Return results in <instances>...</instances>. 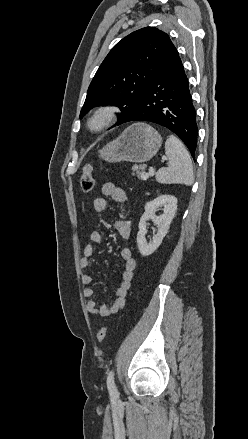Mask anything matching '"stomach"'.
I'll return each mask as SVG.
<instances>
[{"label": "stomach", "instance_id": "obj_1", "mask_svg": "<svg viewBox=\"0 0 248 439\" xmlns=\"http://www.w3.org/2000/svg\"><path fill=\"white\" fill-rule=\"evenodd\" d=\"M161 144V135L153 127L146 123H135L100 149L99 157L110 163H143L158 152Z\"/></svg>", "mask_w": 248, "mask_h": 439}]
</instances>
